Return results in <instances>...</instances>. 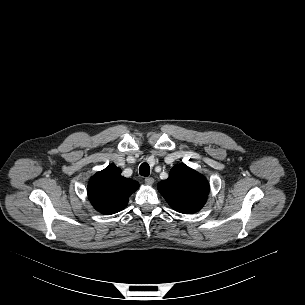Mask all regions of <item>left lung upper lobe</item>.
<instances>
[{
	"mask_svg": "<svg viewBox=\"0 0 305 305\" xmlns=\"http://www.w3.org/2000/svg\"><path fill=\"white\" fill-rule=\"evenodd\" d=\"M157 187L167 203L183 214L199 211L209 193L206 178L185 164L174 166L169 178L159 182Z\"/></svg>",
	"mask_w": 305,
	"mask_h": 305,
	"instance_id": "left-lung-upper-lobe-1",
	"label": "left lung upper lobe"
}]
</instances>
